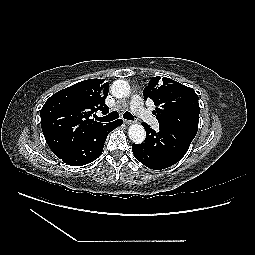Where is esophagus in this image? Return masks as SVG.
Wrapping results in <instances>:
<instances>
[{"instance_id":"1","label":"esophagus","mask_w":255,"mask_h":255,"mask_svg":"<svg viewBox=\"0 0 255 255\" xmlns=\"http://www.w3.org/2000/svg\"><path fill=\"white\" fill-rule=\"evenodd\" d=\"M124 123H125L126 125H131V124L133 123V121H131V120H124Z\"/></svg>"}]
</instances>
